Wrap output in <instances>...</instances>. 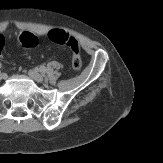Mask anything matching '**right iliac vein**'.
I'll return each instance as SVG.
<instances>
[{
    "label": "right iliac vein",
    "instance_id": "1",
    "mask_svg": "<svg viewBox=\"0 0 163 163\" xmlns=\"http://www.w3.org/2000/svg\"><path fill=\"white\" fill-rule=\"evenodd\" d=\"M5 78H6V76H5L4 74L0 73V81H1L2 79H5Z\"/></svg>",
    "mask_w": 163,
    "mask_h": 163
}]
</instances>
